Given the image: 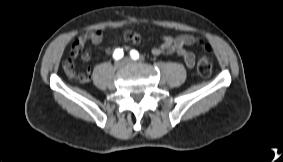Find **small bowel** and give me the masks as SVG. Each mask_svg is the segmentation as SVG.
Listing matches in <instances>:
<instances>
[{"instance_id": "small-bowel-1", "label": "small bowel", "mask_w": 283, "mask_h": 162, "mask_svg": "<svg viewBox=\"0 0 283 162\" xmlns=\"http://www.w3.org/2000/svg\"><path fill=\"white\" fill-rule=\"evenodd\" d=\"M123 39L125 42L131 44L140 43V36L138 33L128 30L124 32ZM91 42L94 45H99L103 41V34L100 30L87 31L79 36L72 44L70 57L63 63L65 73L73 78L76 73L74 68L75 59L81 54L83 61L87 62L91 58L89 51H83V47L86 42ZM196 43V38L190 34H184L179 36L165 35L162 42L153 47L152 54L155 56L161 54H176L180 56L187 67L192 68L195 65V55L188 47ZM86 73L90 74L89 71Z\"/></svg>"}]
</instances>
